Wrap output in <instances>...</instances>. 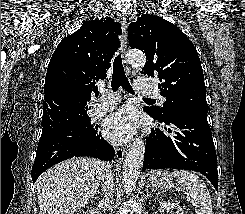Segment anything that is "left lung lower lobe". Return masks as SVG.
I'll return each instance as SVG.
<instances>
[{"mask_svg":"<svg viewBox=\"0 0 245 214\" xmlns=\"http://www.w3.org/2000/svg\"><path fill=\"white\" fill-rule=\"evenodd\" d=\"M144 111L160 123L173 124L175 130L165 128L168 131L165 134L157 128L151 129L146 137L143 170H194L206 176L218 191L217 158L207 111H188L164 121L149 110Z\"/></svg>","mask_w":245,"mask_h":214,"instance_id":"obj_1","label":"left lung lower lobe"}]
</instances>
